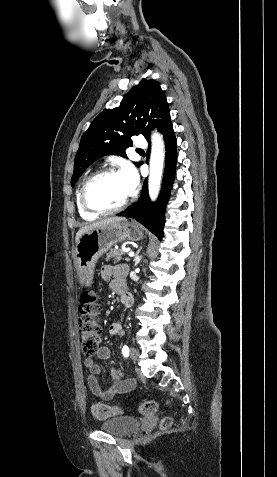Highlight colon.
I'll use <instances>...</instances> for the list:
<instances>
[{"instance_id":"colon-1","label":"colon","mask_w":277,"mask_h":477,"mask_svg":"<svg viewBox=\"0 0 277 477\" xmlns=\"http://www.w3.org/2000/svg\"><path fill=\"white\" fill-rule=\"evenodd\" d=\"M99 310L96 294L92 291L83 292L79 304V332L82 351L88 357L96 353L102 338L101 327L98 323ZM157 407L156 401L148 400L140 405L139 410L143 415H152L156 412ZM91 412L98 419H106L122 414L123 410L119 407L96 403L92 405ZM171 425L172 420L169 417L163 418L160 424L162 429H167Z\"/></svg>"}]
</instances>
